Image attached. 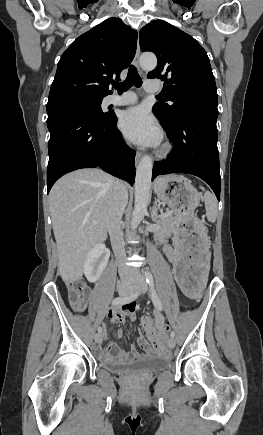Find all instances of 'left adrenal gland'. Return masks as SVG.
I'll return each instance as SVG.
<instances>
[{"label": "left adrenal gland", "mask_w": 263, "mask_h": 435, "mask_svg": "<svg viewBox=\"0 0 263 435\" xmlns=\"http://www.w3.org/2000/svg\"><path fill=\"white\" fill-rule=\"evenodd\" d=\"M158 210H160V203L159 200L155 198L154 205L152 207V212H151V219L155 222L158 219Z\"/></svg>", "instance_id": "a2214340"}]
</instances>
